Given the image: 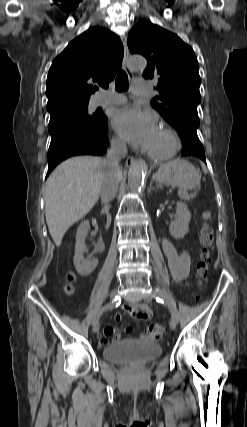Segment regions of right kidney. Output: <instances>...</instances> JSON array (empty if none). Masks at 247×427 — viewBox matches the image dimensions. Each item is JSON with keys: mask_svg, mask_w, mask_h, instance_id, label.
Segmentation results:
<instances>
[{"mask_svg": "<svg viewBox=\"0 0 247 427\" xmlns=\"http://www.w3.org/2000/svg\"><path fill=\"white\" fill-rule=\"evenodd\" d=\"M89 230L90 224L89 221L86 220L79 225L76 233L75 255L73 258V263L76 271L82 276L91 274L98 265V259H85L83 256L84 251L86 250L85 238Z\"/></svg>", "mask_w": 247, "mask_h": 427, "instance_id": "1", "label": "right kidney"}]
</instances>
